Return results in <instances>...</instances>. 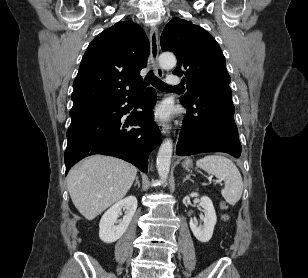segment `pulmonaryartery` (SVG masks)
<instances>
[{"label": "pulmonary artery", "instance_id": "e3ab8cb5", "mask_svg": "<svg viewBox=\"0 0 308 278\" xmlns=\"http://www.w3.org/2000/svg\"><path fill=\"white\" fill-rule=\"evenodd\" d=\"M167 83L170 85V86H177L181 83V78L177 75H170L168 78H167Z\"/></svg>", "mask_w": 308, "mask_h": 278}]
</instances>
